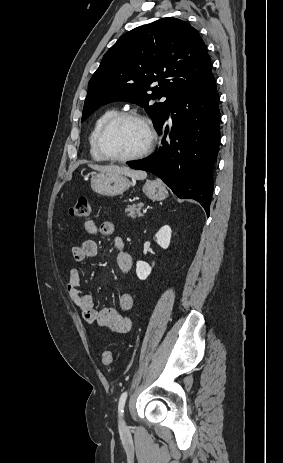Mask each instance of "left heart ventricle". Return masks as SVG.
I'll use <instances>...</instances> for the list:
<instances>
[{
  "label": "left heart ventricle",
  "mask_w": 283,
  "mask_h": 463,
  "mask_svg": "<svg viewBox=\"0 0 283 463\" xmlns=\"http://www.w3.org/2000/svg\"><path fill=\"white\" fill-rule=\"evenodd\" d=\"M147 140L144 126L137 120L126 119L107 132L104 143L110 154L127 157L140 152L146 146Z\"/></svg>",
  "instance_id": "left-heart-ventricle-1"
}]
</instances>
